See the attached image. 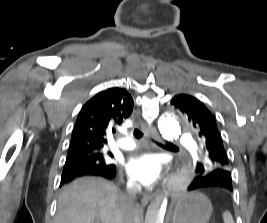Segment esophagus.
<instances>
[{
  "instance_id": "34e87169",
  "label": "esophagus",
  "mask_w": 267,
  "mask_h": 223,
  "mask_svg": "<svg viewBox=\"0 0 267 223\" xmlns=\"http://www.w3.org/2000/svg\"><path fill=\"white\" fill-rule=\"evenodd\" d=\"M141 128H142V130H143L145 136H147L148 138H150V139H154V140H157V141H160V140H161V138H160V136H159V134H158V132L156 131L155 128H153V127H147V126L144 125V124H141ZM152 198H153V195H152V194L145 195V196L142 197V199H141V203H142L143 205H147L148 202H149Z\"/></svg>"
}]
</instances>
